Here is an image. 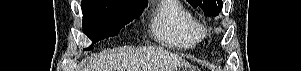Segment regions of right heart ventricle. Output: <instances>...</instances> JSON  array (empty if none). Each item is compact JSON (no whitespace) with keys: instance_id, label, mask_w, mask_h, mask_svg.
Listing matches in <instances>:
<instances>
[{"instance_id":"e07e8e85","label":"right heart ventricle","mask_w":301,"mask_h":71,"mask_svg":"<svg viewBox=\"0 0 301 71\" xmlns=\"http://www.w3.org/2000/svg\"><path fill=\"white\" fill-rule=\"evenodd\" d=\"M151 32L158 42L177 49H192L201 39L195 17L179 1L162 2L154 13Z\"/></svg>"}]
</instances>
